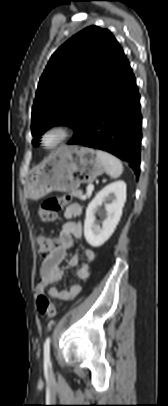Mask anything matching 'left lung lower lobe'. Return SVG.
I'll list each match as a JSON object with an SVG mask.
<instances>
[{
	"instance_id": "0a47b994",
	"label": "left lung lower lobe",
	"mask_w": 168,
	"mask_h": 406,
	"mask_svg": "<svg viewBox=\"0 0 168 406\" xmlns=\"http://www.w3.org/2000/svg\"><path fill=\"white\" fill-rule=\"evenodd\" d=\"M140 95L130 63L124 55L97 98L82 131L69 145L107 151L140 169Z\"/></svg>"
}]
</instances>
